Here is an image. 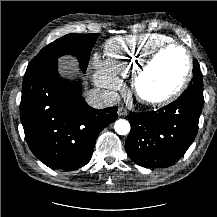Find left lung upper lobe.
I'll use <instances>...</instances> for the list:
<instances>
[{"mask_svg":"<svg viewBox=\"0 0 217 217\" xmlns=\"http://www.w3.org/2000/svg\"><path fill=\"white\" fill-rule=\"evenodd\" d=\"M193 78L188 87H193L197 90L203 91V76L200 72L198 61L193 59Z\"/></svg>","mask_w":217,"mask_h":217,"instance_id":"left-lung-upper-lobe-1","label":"left lung upper lobe"}]
</instances>
